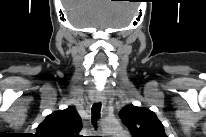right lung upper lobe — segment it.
I'll return each mask as SVG.
<instances>
[{
  "instance_id": "right-lung-upper-lobe-1",
  "label": "right lung upper lobe",
  "mask_w": 206,
  "mask_h": 137,
  "mask_svg": "<svg viewBox=\"0 0 206 137\" xmlns=\"http://www.w3.org/2000/svg\"><path fill=\"white\" fill-rule=\"evenodd\" d=\"M82 128L79 114L74 107L55 111L37 127V137H77Z\"/></svg>"
}]
</instances>
